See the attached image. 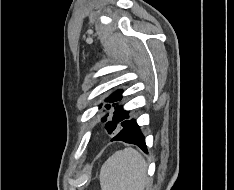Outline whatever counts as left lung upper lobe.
<instances>
[{
    "mask_svg": "<svg viewBox=\"0 0 234 190\" xmlns=\"http://www.w3.org/2000/svg\"><path fill=\"white\" fill-rule=\"evenodd\" d=\"M121 94H122V91L118 90L114 92L113 94H111L105 101L111 102V103L120 101L122 100ZM112 106L115 107L114 115L111 118V120L106 123V126H105L109 134L117 132L121 128L123 123L129 118L128 111L123 110L122 106H118L116 103H113ZM101 107L102 105L99 106V108ZM104 107L107 108L108 110L112 108L111 105L109 104L105 105ZM108 115L109 114H106L102 118L103 122L107 121Z\"/></svg>",
    "mask_w": 234,
    "mask_h": 190,
    "instance_id": "5c2ea615",
    "label": "left lung upper lobe"
}]
</instances>
